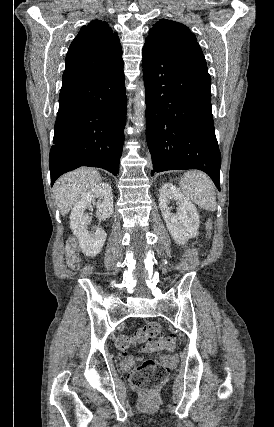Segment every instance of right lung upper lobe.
Returning <instances> with one entry per match:
<instances>
[{
  "instance_id": "right-lung-upper-lobe-1",
  "label": "right lung upper lobe",
  "mask_w": 274,
  "mask_h": 427,
  "mask_svg": "<svg viewBox=\"0 0 274 427\" xmlns=\"http://www.w3.org/2000/svg\"><path fill=\"white\" fill-rule=\"evenodd\" d=\"M122 63L117 33L107 22L93 20L81 28L69 47L61 90L100 77Z\"/></svg>"
}]
</instances>
